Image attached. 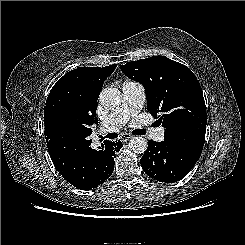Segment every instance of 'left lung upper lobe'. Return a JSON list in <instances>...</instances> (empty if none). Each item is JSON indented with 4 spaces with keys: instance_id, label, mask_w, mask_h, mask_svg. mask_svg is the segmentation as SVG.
I'll use <instances>...</instances> for the list:
<instances>
[{
    "instance_id": "left-lung-upper-lobe-1",
    "label": "left lung upper lobe",
    "mask_w": 245,
    "mask_h": 245,
    "mask_svg": "<svg viewBox=\"0 0 245 245\" xmlns=\"http://www.w3.org/2000/svg\"><path fill=\"white\" fill-rule=\"evenodd\" d=\"M120 69L144 86L147 110L165 128V142L203 148L206 106L201 86L188 67L165 56H153Z\"/></svg>"
}]
</instances>
